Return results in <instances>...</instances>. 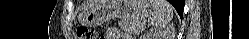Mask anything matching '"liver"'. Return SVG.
Listing matches in <instances>:
<instances>
[{
	"label": "liver",
	"mask_w": 249,
	"mask_h": 39,
	"mask_svg": "<svg viewBox=\"0 0 249 39\" xmlns=\"http://www.w3.org/2000/svg\"><path fill=\"white\" fill-rule=\"evenodd\" d=\"M95 1H90V3L87 4V7H90Z\"/></svg>",
	"instance_id": "1"
}]
</instances>
